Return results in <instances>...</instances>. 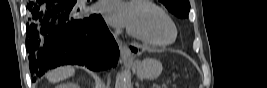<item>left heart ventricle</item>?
Segmentation results:
<instances>
[{"mask_svg": "<svg viewBox=\"0 0 267 88\" xmlns=\"http://www.w3.org/2000/svg\"><path fill=\"white\" fill-rule=\"evenodd\" d=\"M128 27L155 42H167L174 36L170 21L158 11L143 5H131V20Z\"/></svg>", "mask_w": 267, "mask_h": 88, "instance_id": "b2bd125f", "label": "left heart ventricle"}]
</instances>
